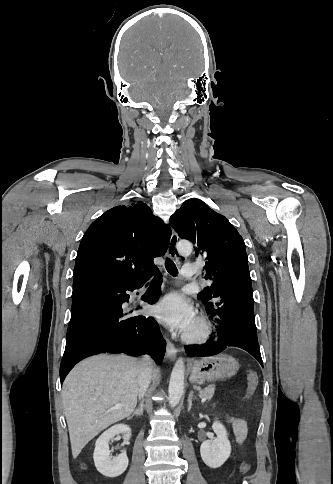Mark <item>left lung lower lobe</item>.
Wrapping results in <instances>:
<instances>
[{
    "label": "left lung lower lobe",
    "mask_w": 333,
    "mask_h": 484,
    "mask_svg": "<svg viewBox=\"0 0 333 484\" xmlns=\"http://www.w3.org/2000/svg\"><path fill=\"white\" fill-rule=\"evenodd\" d=\"M214 282L217 285V300L205 307L211 319L218 325V335L211 337L203 345L188 346V356H211L234 346L249 352L263 366L248 264L230 262L222 266L216 272Z\"/></svg>",
    "instance_id": "obj_1"
}]
</instances>
